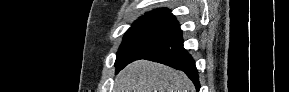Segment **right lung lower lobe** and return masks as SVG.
Instances as JSON below:
<instances>
[{
  "mask_svg": "<svg viewBox=\"0 0 289 92\" xmlns=\"http://www.w3.org/2000/svg\"><path fill=\"white\" fill-rule=\"evenodd\" d=\"M140 59L159 62L185 72L199 91L200 83L195 62L187 50L184 49L183 40Z\"/></svg>",
  "mask_w": 289,
  "mask_h": 92,
  "instance_id": "1",
  "label": "right lung lower lobe"
}]
</instances>
